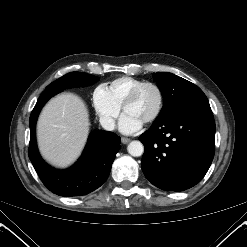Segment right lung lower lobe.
Returning <instances> with one entry per match:
<instances>
[{
	"instance_id": "right-lung-lower-lobe-1",
	"label": "right lung lower lobe",
	"mask_w": 247,
	"mask_h": 247,
	"mask_svg": "<svg viewBox=\"0 0 247 247\" xmlns=\"http://www.w3.org/2000/svg\"><path fill=\"white\" fill-rule=\"evenodd\" d=\"M59 92L61 91L45 90L31 113L28 155L47 189L60 196H81L94 191L106 181L115 155L121 147L120 138L111 132L93 131L82 156L72 167L57 170L48 165L37 149L36 121L44 104Z\"/></svg>"
}]
</instances>
